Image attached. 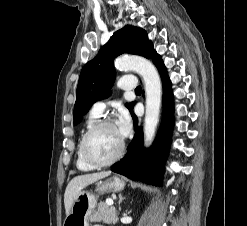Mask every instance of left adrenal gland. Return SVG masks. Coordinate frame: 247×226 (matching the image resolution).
Here are the masks:
<instances>
[{"label":"left adrenal gland","mask_w":247,"mask_h":226,"mask_svg":"<svg viewBox=\"0 0 247 226\" xmlns=\"http://www.w3.org/2000/svg\"><path fill=\"white\" fill-rule=\"evenodd\" d=\"M124 199H125V198L120 194V195H119V201H118L119 211H121L120 205H121V202H122Z\"/></svg>","instance_id":"a2214340"}]
</instances>
